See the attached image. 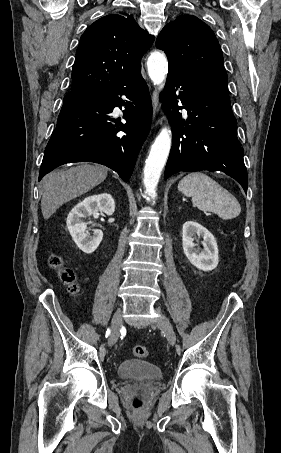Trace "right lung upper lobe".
<instances>
[{
    "label": "right lung upper lobe",
    "instance_id": "cb5924a9",
    "mask_svg": "<svg viewBox=\"0 0 281 453\" xmlns=\"http://www.w3.org/2000/svg\"><path fill=\"white\" fill-rule=\"evenodd\" d=\"M153 41L132 16L101 17L81 36L71 90L119 84L141 67V58Z\"/></svg>",
    "mask_w": 281,
    "mask_h": 453
}]
</instances>
